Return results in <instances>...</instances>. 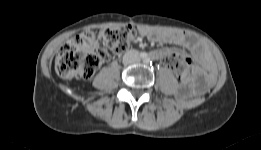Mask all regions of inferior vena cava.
I'll return each instance as SVG.
<instances>
[{
  "mask_svg": "<svg viewBox=\"0 0 261 150\" xmlns=\"http://www.w3.org/2000/svg\"><path fill=\"white\" fill-rule=\"evenodd\" d=\"M139 61H140L139 52L134 49L127 51L123 57V62L125 64L137 63Z\"/></svg>",
  "mask_w": 261,
  "mask_h": 150,
  "instance_id": "1",
  "label": "inferior vena cava"
}]
</instances>
